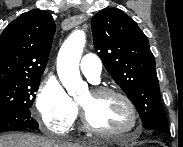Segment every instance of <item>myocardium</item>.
I'll list each match as a JSON object with an SVG mask.
<instances>
[{
  "label": "myocardium",
  "instance_id": "obj_1",
  "mask_svg": "<svg viewBox=\"0 0 183 147\" xmlns=\"http://www.w3.org/2000/svg\"><path fill=\"white\" fill-rule=\"evenodd\" d=\"M91 93L96 97L113 95L121 98L125 104L127 105L131 116H132V124L128 129L125 130H105L96 127L90 120L87 110L79 103L80 107V115H81V122L83 128L95 135H102V136H125L134 133L139 127V114L137 108L131 98L123 93L120 90L109 88V87H98L91 90Z\"/></svg>",
  "mask_w": 183,
  "mask_h": 147
}]
</instances>
